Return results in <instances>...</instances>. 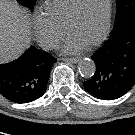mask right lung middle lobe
<instances>
[{"instance_id": "right-lung-middle-lobe-1", "label": "right lung middle lobe", "mask_w": 135, "mask_h": 135, "mask_svg": "<svg viewBox=\"0 0 135 135\" xmlns=\"http://www.w3.org/2000/svg\"><path fill=\"white\" fill-rule=\"evenodd\" d=\"M20 4L28 7L29 9H33L35 6L36 0H17Z\"/></svg>"}]
</instances>
